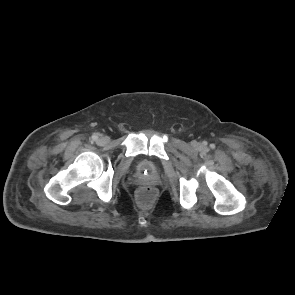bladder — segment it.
Returning a JSON list of instances; mask_svg holds the SVG:
<instances>
[{
	"instance_id": "bladder-1",
	"label": "bladder",
	"mask_w": 295,
	"mask_h": 295,
	"mask_svg": "<svg viewBox=\"0 0 295 295\" xmlns=\"http://www.w3.org/2000/svg\"><path fill=\"white\" fill-rule=\"evenodd\" d=\"M135 175L145 181L154 179L158 173L156 164L146 158L137 160L133 166Z\"/></svg>"
}]
</instances>
